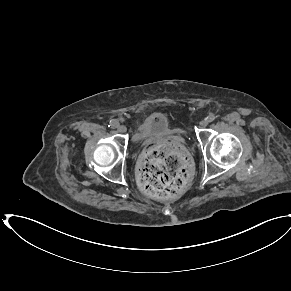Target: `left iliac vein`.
<instances>
[{"label":"left iliac vein","instance_id":"4c4485c4","mask_svg":"<svg viewBox=\"0 0 291 291\" xmlns=\"http://www.w3.org/2000/svg\"><path fill=\"white\" fill-rule=\"evenodd\" d=\"M208 120L207 119H203L201 122H200V126L202 127V128H205L207 125H208Z\"/></svg>","mask_w":291,"mask_h":291}]
</instances>
